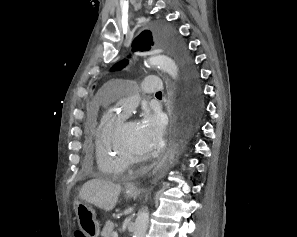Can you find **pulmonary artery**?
<instances>
[{"instance_id": "pulmonary-artery-1", "label": "pulmonary artery", "mask_w": 297, "mask_h": 237, "mask_svg": "<svg viewBox=\"0 0 297 237\" xmlns=\"http://www.w3.org/2000/svg\"><path fill=\"white\" fill-rule=\"evenodd\" d=\"M162 89V85L158 77L149 76L143 79L140 88H134L131 86H123L119 90V99L117 100V107L121 109L122 115L129 114L132 108H134L139 99L140 93L150 94Z\"/></svg>"}]
</instances>
